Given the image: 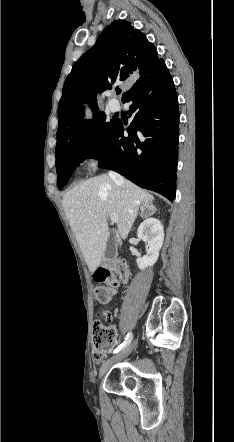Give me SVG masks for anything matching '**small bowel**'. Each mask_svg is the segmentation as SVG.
<instances>
[{
  "label": "small bowel",
  "instance_id": "1",
  "mask_svg": "<svg viewBox=\"0 0 234 442\" xmlns=\"http://www.w3.org/2000/svg\"><path fill=\"white\" fill-rule=\"evenodd\" d=\"M111 320H112L111 315L106 314V315H104L103 319H97L95 321V326L97 328H104L105 326L110 325Z\"/></svg>",
  "mask_w": 234,
  "mask_h": 442
}]
</instances>
